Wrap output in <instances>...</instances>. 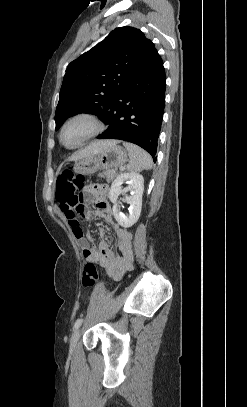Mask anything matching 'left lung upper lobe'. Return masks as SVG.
Returning a JSON list of instances; mask_svg holds the SVG:
<instances>
[{
    "label": "left lung upper lobe",
    "instance_id": "1",
    "mask_svg": "<svg viewBox=\"0 0 247 407\" xmlns=\"http://www.w3.org/2000/svg\"><path fill=\"white\" fill-rule=\"evenodd\" d=\"M157 50L136 28L124 26L110 34L66 70L55 112L56 130L71 116L91 112L106 122L124 86Z\"/></svg>",
    "mask_w": 247,
    "mask_h": 407
}]
</instances>
